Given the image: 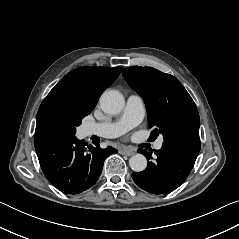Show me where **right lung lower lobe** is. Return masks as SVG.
Returning <instances> with one entry per match:
<instances>
[{"label":"right lung lower lobe","instance_id":"1","mask_svg":"<svg viewBox=\"0 0 239 239\" xmlns=\"http://www.w3.org/2000/svg\"><path fill=\"white\" fill-rule=\"evenodd\" d=\"M34 144L46 178L66 194H78L98 180L105 158L117 151L84 145L75 133L58 127L36 128Z\"/></svg>","mask_w":239,"mask_h":239}]
</instances>
